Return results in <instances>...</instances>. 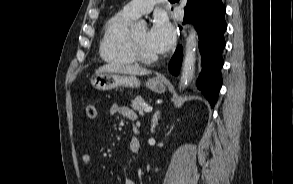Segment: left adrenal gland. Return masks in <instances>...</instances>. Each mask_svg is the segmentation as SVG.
Listing matches in <instances>:
<instances>
[{
  "mask_svg": "<svg viewBox=\"0 0 293 184\" xmlns=\"http://www.w3.org/2000/svg\"><path fill=\"white\" fill-rule=\"evenodd\" d=\"M160 119V111H157L151 120V131H154L156 125L158 124V120Z\"/></svg>",
  "mask_w": 293,
  "mask_h": 184,
  "instance_id": "1",
  "label": "left adrenal gland"
}]
</instances>
